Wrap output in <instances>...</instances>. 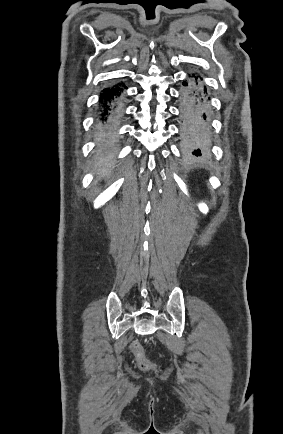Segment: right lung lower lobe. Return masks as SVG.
Returning a JSON list of instances; mask_svg holds the SVG:
<instances>
[{"mask_svg": "<svg viewBox=\"0 0 283 434\" xmlns=\"http://www.w3.org/2000/svg\"><path fill=\"white\" fill-rule=\"evenodd\" d=\"M122 89L117 86L111 90H104L101 96V113L99 115V128L106 130L109 125L117 118V99L121 94Z\"/></svg>", "mask_w": 283, "mask_h": 434, "instance_id": "obj_1", "label": "right lung lower lobe"}]
</instances>
